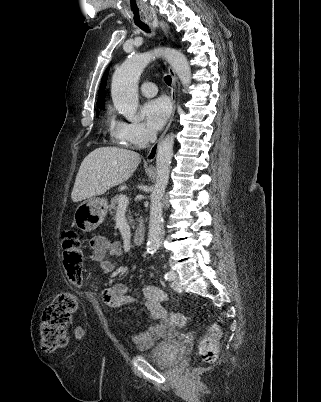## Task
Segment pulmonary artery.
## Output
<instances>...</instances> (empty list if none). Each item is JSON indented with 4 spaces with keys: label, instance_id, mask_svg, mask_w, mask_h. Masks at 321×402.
<instances>
[{
    "label": "pulmonary artery",
    "instance_id": "obj_1",
    "mask_svg": "<svg viewBox=\"0 0 321 402\" xmlns=\"http://www.w3.org/2000/svg\"><path fill=\"white\" fill-rule=\"evenodd\" d=\"M141 93L146 97L155 96L158 92L157 86L152 82L142 83L140 86Z\"/></svg>",
    "mask_w": 321,
    "mask_h": 402
}]
</instances>
